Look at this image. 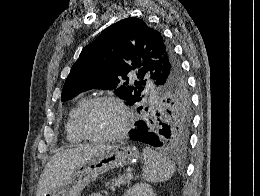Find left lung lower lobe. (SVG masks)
Instances as JSON below:
<instances>
[{"instance_id": "1", "label": "left lung lower lobe", "mask_w": 260, "mask_h": 196, "mask_svg": "<svg viewBox=\"0 0 260 196\" xmlns=\"http://www.w3.org/2000/svg\"><path fill=\"white\" fill-rule=\"evenodd\" d=\"M136 128L132 129L129 134L132 140L147 143L154 147H159L161 145L160 137L158 134L149 131L148 126L143 121H138L135 123Z\"/></svg>"}]
</instances>
